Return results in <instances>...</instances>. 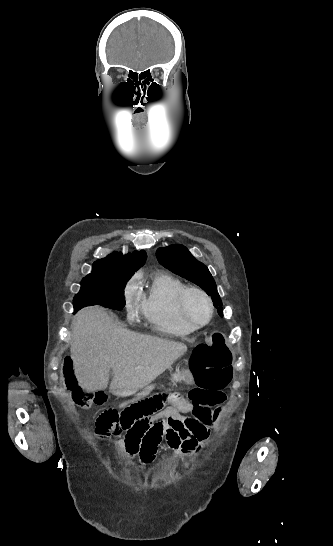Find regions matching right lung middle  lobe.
<instances>
[{"label": "right lung middle lobe", "mask_w": 333, "mask_h": 546, "mask_svg": "<svg viewBox=\"0 0 333 546\" xmlns=\"http://www.w3.org/2000/svg\"><path fill=\"white\" fill-rule=\"evenodd\" d=\"M134 272L114 269H92L81 281V289L75 295L74 313L86 306L102 305L121 310L125 305L124 288Z\"/></svg>", "instance_id": "1"}]
</instances>
